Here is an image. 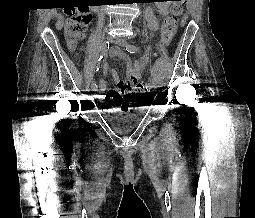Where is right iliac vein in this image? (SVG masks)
I'll return each mask as SVG.
<instances>
[{"label":"right iliac vein","instance_id":"right-iliac-vein-1","mask_svg":"<svg viewBox=\"0 0 255 218\" xmlns=\"http://www.w3.org/2000/svg\"><path fill=\"white\" fill-rule=\"evenodd\" d=\"M107 41H108L109 43H112V42H113V38L110 37V36H108V37H107ZM91 88H92V91H94V92L97 91V87H93V86H92Z\"/></svg>","mask_w":255,"mask_h":218}]
</instances>
